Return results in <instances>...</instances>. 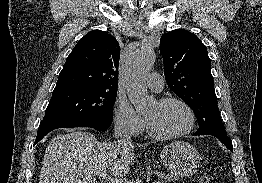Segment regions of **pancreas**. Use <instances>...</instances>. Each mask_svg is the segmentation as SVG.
<instances>
[{
	"mask_svg": "<svg viewBox=\"0 0 262 183\" xmlns=\"http://www.w3.org/2000/svg\"><path fill=\"white\" fill-rule=\"evenodd\" d=\"M161 178H162V179H167V180H170V181H173V182H176V181H177V179H176L175 177L169 176V175L162 176ZM154 183H166V182L161 181V180H158V181H156V182H154Z\"/></svg>",
	"mask_w": 262,
	"mask_h": 183,
	"instance_id": "pancreas-1",
	"label": "pancreas"
}]
</instances>
